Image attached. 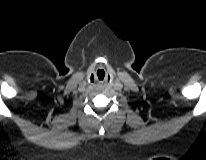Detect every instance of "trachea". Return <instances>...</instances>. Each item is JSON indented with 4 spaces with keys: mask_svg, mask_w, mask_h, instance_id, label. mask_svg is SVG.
<instances>
[{
    "mask_svg": "<svg viewBox=\"0 0 206 160\" xmlns=\"http://www.w3.org/2000/svg\"><path fill=\"white\" fill-rule=\"evenodd\" d=\"M97 76H98V80L99 81H103L104 80V76H105V72L104 71H98L97 72Z\"/></svg>",
    "mask_w": 206,
    "mask_h": 160,
    "instance_id": "obj_1",
    "label": "trachea"
}]
</instances>
